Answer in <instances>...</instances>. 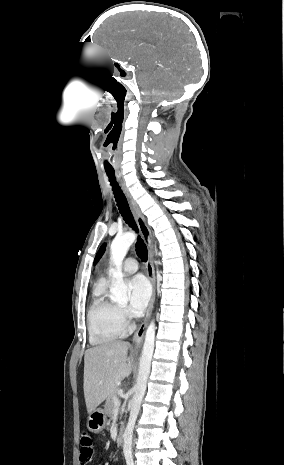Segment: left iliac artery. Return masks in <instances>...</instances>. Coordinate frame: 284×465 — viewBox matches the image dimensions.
<instances>
[{
	"label": "left iliac artery",
	"mask_w": 284,
	"mask_h": 465,
	"mask_svg": "<svg viewBox=\"0 0 284 465\" xmlns=\"http://www.w3.org/2000/svg\"><path fill=\"white\" fill-rule=\"evenodd\" d=\"M127 465H134L133 460H132V459H128V460H127Z\"/></svg>",
	"instance_id": "obj_1"
}]
</instances>
